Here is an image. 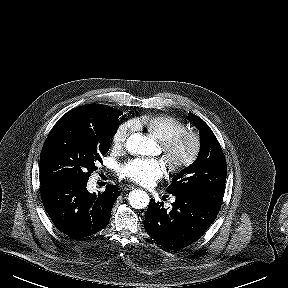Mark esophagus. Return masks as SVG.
I'll return each instance as SVG.
<instances>
[{
	"label": "esophagus",
	"mask_w": 288,
	"mask_h": 288,
	"mask_svg": "<svg viewBox=\"0 0 288 288\" xmlns=\"http://www.w3.org/2000/svg\"><path fill=\"white\" fill-rule=\"evenodd\" d=\"M124 190H131V189H134V186H131V185H127L123 188Z\"/></svg>",
	"instance_id": "1"
}]
</instances>
